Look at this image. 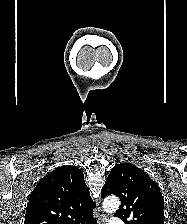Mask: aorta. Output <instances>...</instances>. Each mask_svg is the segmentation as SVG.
<instances>
[{
  "label": "aorta",
  "mask_w": 187,
  "mask_h": 224,
  "mask_svg": "<svg viewBox=\"0 0 187 224\" xmlns=\"http://www.w3.org/2000/svg\"><path fill=\"white\" fill-rule=\"evenodd\" d=\"M120 206V200L116 196H110L105 198L103 202V209L107 213L115 212Z\"/></svg>",
  "instance_id": "obj_1"
}]
</instances>
